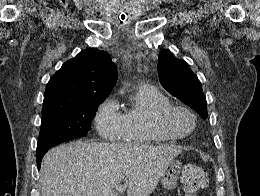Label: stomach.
<instances>
[{
  "instance_id": "obj_1",
  "label": "stomach",
  "mask_w": 260,
  "mask_h": 196,
  "mask_svg": "<svg viewBox=\"0 0 260 196\" xmlns=\"http://www.w3.org/2000/svg\"><path fill=\"white\" fill-rule=\"evenodd\" d=\"M181 168L182 164L179 160H171L169 162L164 170V174L161 176V184L165 190H175Z\"/></svg>"
}]
</instances>
